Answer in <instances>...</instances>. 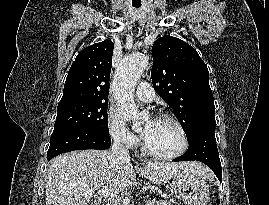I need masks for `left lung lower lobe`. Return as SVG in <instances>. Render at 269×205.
Here are the masks:
<instances>
[{
	"instance_id": "left-lung-lower-lobe-1",
	"label": "left lung lower lobe",
	"mask_w": 269,
	"mask_h": 205,
	"mask_svg": "<svg viewBox=\"0 0 269 205\" xmlns=\"http://www.w3.org/2000/svg\"><path fill=\"white\" fill-rule=\"evenodd\" d=\"M188 140L189 147L187 152L173 161L196 160L203 162L213 170L221 181L222 169L216 145L215 126L210 125L199 128Z\"/></svg>"
}]
</instances>
